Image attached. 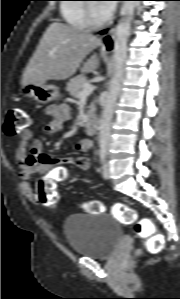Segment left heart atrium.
<instances>
[{
	"instance_id": "left-heart-atrium-1",
	"label": "left heart atrium",
	"mask_w": 180,
	"mask_h": 299,
	"mask_svg": "<svg viewBox=\"0 0 180 299\" xmlns=\"http://www.w3.org/2000/svg\"><path fill=\"white\" fill-rule=\"evenodd\" d=\"M109 3H102L100 4V8L106 16H110L113 11L115 10V3H111L113 1H107Z\"/></svg>"
}]
</instances>
